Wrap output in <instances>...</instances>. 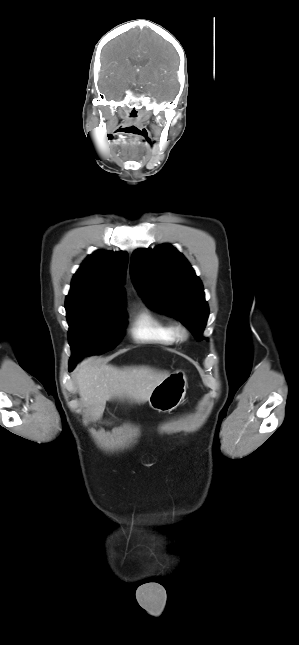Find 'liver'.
<instances>
[{
	"label": "liver",
	"instance_id": "6515ba94",
	"mask_svg": "<svg viewBox=\"0 0 299 645\" xmlns=\"http://www.w3.org/2000/svg\"><path fill=\"white\" fill-rule=\"evenodd\" d=\"M169 375L146 366L117 368L95 357L84 359L74 372L81 401L94 420L102 417L109 400L148 401L153 389Z\"/></svg>",
	"mask_w": 299,
	"mask_h": 645
}]
</instances>
